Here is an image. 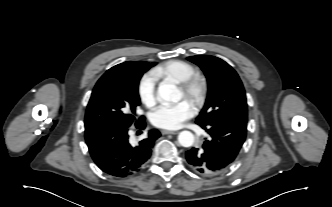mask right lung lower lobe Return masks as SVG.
I'll use <instances>...</instances> for the list:
<instances>
[{
    "label": "right lung lower lobe",
    "instance_id": "98d812e1",
    "mask_svg": "<svg viewBox=\"0 0 332 207\" xmlns=\"http://www.w3.org/2000/svg\"><path fill=\"white\" fill-rule=\"evenodd\" d=\"M144 128V119L136 122ZM129 127H108L85 133L89 152L96 165L105 173L115 177H127L139 172L150 158L154 142L160 132L153 129L138 145L128 141Z\"/></svg>",
    "mask_w": 332,
    "mask_h": 207
}]
</instances>
